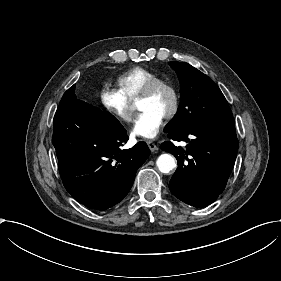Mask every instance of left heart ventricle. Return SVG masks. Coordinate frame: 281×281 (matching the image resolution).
<instances>
[{
  "label": "left heart ventricle",
  "instance_id": "obj_1",
  "mask_svg": "<svg viewBox=\"0 0 281 281\" xmlns=\"http://www.w3.org/2000/svg\"><path fill=\"white\" fill-rule=\"evenodd\" d=\"M171 104V97L164 88L159 89L154 96L149 99L139 100L137 107L140 111L148 110L161 116L164 119Z\"/></svg>",
  "mask_w": 281,
  "mask_h": 281
}]
</instances>
